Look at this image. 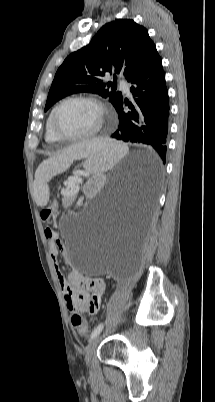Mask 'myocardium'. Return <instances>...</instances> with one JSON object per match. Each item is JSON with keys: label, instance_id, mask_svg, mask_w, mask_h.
<instances>
[{"label": "myocardium", "instance_id": "myocardium-1", "mask_svg": "<svg viewBox=\"0 0 215 402\" xmlns=\"http://www.w3.org/2000/svg\"><path fill=\"white\" fill-rule=\"evenodd\" d=\"M70 101L89 102V103L94 104L99 109L100 120H99V123L96 126V128H94L90 132H87V133L81 134V135H67V134L62 133L58 129L57 124H56V114L61 106H63L65 103L70 102ZM108 115H109V112H108L106 105L99 98H97L95 96H91V95H72V96L63 98L54 106V108L51 111V115H50V125H51V129H52L53 133L61 140L71 141V142L84 141V140L92 139L101 133V131L104 127V124L108 118Z\"/></svg>", "mask_w": 215, "mask_h": 402}]
</instances>
